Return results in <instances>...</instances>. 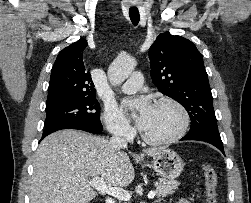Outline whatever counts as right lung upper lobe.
Instances as JSON below:
<instances>
[{
  "mask_svg": "<svg viewBox=\"0 0 251 203\" xmlns=\"http://www.w3.org/2000/svg\"><path fill=\"white\" fill-rule=\"evenodd\" d=\"M83 38L64 48L57 56L51 71L46 107L95 96L90 73L85 69Z\"/></svg>",
  "mask_w": 251,
  "mask_h": 203,
  "instance_id": "cb5924a9",
  "label": "right lung upper lobe"
}]
</instances>
